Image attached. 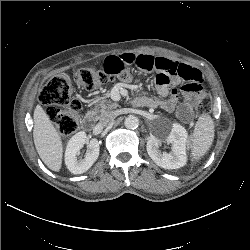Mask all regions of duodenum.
Masks as SVG:
<instances>
[{"instance_id": "1", "label": "duodenum", "mask_w": 250, "mask_h": 250, "mask_svg": "<svg viewBox=\"0 0 250 250\" xmlns=\"http://www.w3.org/2000/svg\"><path fill=\"white\" fill-rule=\"evenodd\" d=\"M137 103V100H136ZM82 126L85 130H91L94 127V116L93 114H86L82 118Z\"/></svg>"}]
</instances>
